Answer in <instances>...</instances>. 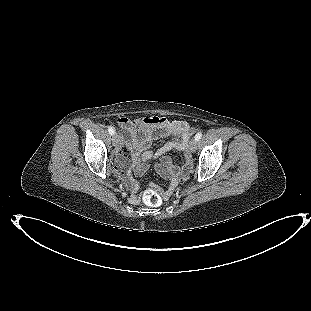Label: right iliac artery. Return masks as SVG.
<instances>
[{
	"label": "right iliac artery",
	"mask_w": 311,
	"mask_h": 311,
	"mask_svg": "<svg viewBox=\"0 0 311 311\" xmlns=\"http://www.w3.org/2000/svg\"><path fill=\"white\" fill-rule=\"evenodd\" d=\"M108 132H109V134L113 135L115 133V130L113 127L110 126V127H108Z\"/></svg>",
	"instance_id": "1"
}]
</instances>
